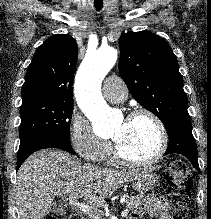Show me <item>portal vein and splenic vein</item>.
<instances>
[{"label":"portal vein and splenic vein","mask_w":211,"mask_h":219,"mask_svg":"<svg viewBox=\"0 0 211 219\" xmlns=\"http://www.w3.org/2000/svg\"><path fill=\"white\" fill-rule=\"evenodd\" d=\"M68 200L71 205L77 207L83 213H86L89 216H93L95 219H100L99 212L95 208L80 203L76 195H70ZM128 212V209L123 210L121 213L122 217L125 218L128 215Z\"/></svg>","instance_id":"1"}]
</instances>
